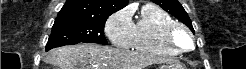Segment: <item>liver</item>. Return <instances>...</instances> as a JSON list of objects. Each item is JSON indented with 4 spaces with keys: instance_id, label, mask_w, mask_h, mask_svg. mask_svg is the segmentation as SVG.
Here are the masks:
<instances>
[{
    "instance_id": "liver-1",
    "label": "liver",
    "mask_w": 246,
    "mask_h": 69,
    "mask_svg": "<svg viewBox=\"0 0 246 69\" xmlns=\"http://www.w3.org/2000/svg\"><path fill=\"white\" fill-rule=\"evenodd\" d=\"M49 60L59 69H143L151 64L168 62L152 55L98 44L60 47L50 54Z\"/></svg>"
}]
</instances>
